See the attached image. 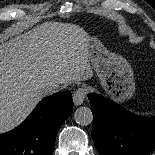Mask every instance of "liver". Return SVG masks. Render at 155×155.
<instances>
[{
    "instance_id": "obj_1",
    "label": "liver",
    "mask_w": 155,
    "mask_h": 155,
    "mask_svg": "<svg viewBox=\"0 0 155 155\" xmlns=\"http://www.w3.org/2000/svg\"><path fill=\"white\" fill-rule=\"evenodd\" d=\"M87 38L78 25L45 22L0 45V133L28 116L48 84L93 76Z\"/></svg>"
}]
</instances>
